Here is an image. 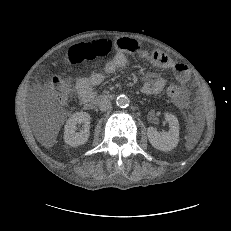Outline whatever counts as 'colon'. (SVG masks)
<instances>
[{
    "instance_id": "1",
    "label": "colon",
    "mask_w": 231,
    "mask_h": 231,
    "mask_svg": "<svg viewBox=\"0 0 231 231\" xmlns=\"http://www.w3.org/2000/svg\"><path fill=\"white\" fill-rule=\"evenodd\" d=\"M114 50V45L109 40L97 41L88 46L83 51L74 52L73 58L76 59L78 55L86 56L91 58L106 57L111 54ZM52 94L58 100H64L67 96V86L65 82L57 75L51 77ZM167 92L170 96L174 97L178 94L179 90L175 85L168 87Z\"/></svg>"
}]
</instances>
